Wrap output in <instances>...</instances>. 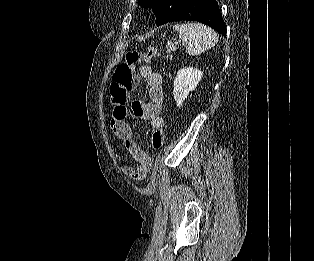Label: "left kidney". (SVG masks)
<instances>
[{
  "mask_svg": "<svg viewBox=\"0 0 314 261\" xmlns=\"http://www.w3.org/2000/svg\"><path fill=\"white\" fill-rule=\"evenodd\" d=\"M203 73L199 69L187 67L180 69L174 80L173 95L177 107L182 106V103L187 98L190 91H193L201 81Z\"/></svg>",
  "mask_w": 314,
  "mask_h": 261,
  "instance_id": "1",
  "label": "left kidney"
}]
</instances>
